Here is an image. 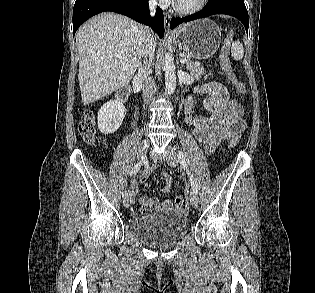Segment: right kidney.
<instances>
[{"label":"right kidney","mask_w":315,"mask_h":293,"mask_svg":"<svg viewBox=\"0 0 315 293\" xmlns=\"http://www.w3.org/2000/svg\"><path fill=\"white\" fill-rule=\"evenodd\" d=\"M126 114L125 106L118 100L103 104L98 112V129L103 134H112L121 126Z\"/></svg>","instance_id":"1"}]
</instances>
